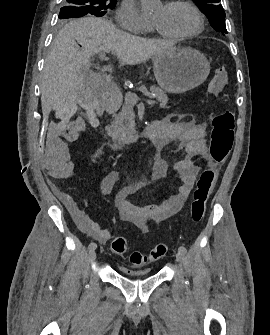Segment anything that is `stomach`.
I'll use <instances>...</instances> for the list:
<instances>
[{"label": "stomach", "mask_w": 270, "mask_h": 335, "mask_svg": "<svg viewBox=\"0 0 270 335\" xmlns=\"http://www.w3.org/2000/svg\"><path fill=\"white\" fill-rule=\"evenodd\" d=\"M153 72L162 90L183 94L205 82L210 62L194 48H171L154 56Z\"/></svg>", "instance_id": "stomach-1"}]
</instances>
